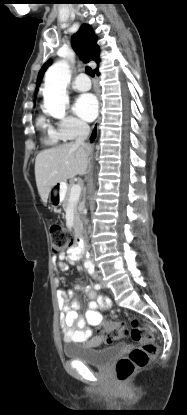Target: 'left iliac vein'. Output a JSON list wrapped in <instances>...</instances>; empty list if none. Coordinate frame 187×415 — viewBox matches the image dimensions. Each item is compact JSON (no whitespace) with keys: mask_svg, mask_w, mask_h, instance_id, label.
I'll list each match as a JSON object with an SVG mask.
<instances>
[{"mask_svg":"<svg viewBox=\"0 0 187 415\" xmlns=\"http://www.w3.org/2000/svg\"><path fill=\"white\" fill-rule=\"evenodd\" d=\"M98 280H99V282H100L101 287H102V288H106V285H105V283L103 282V280H102V277H101V276H98Z\"/></svg>","mask_w":187,"mask_h":415,"instance_id":"4c4485c4","label":"left iliac vein"}]
</instances>
